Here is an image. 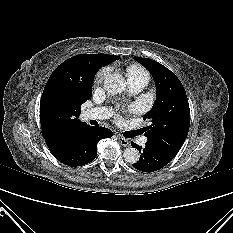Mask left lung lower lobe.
<instances>
[{
	"instance_id": "left-lung-lower-lobe-1",
	"label": "left lung lower lobe",
	"mask_w": 233,
	"mask_h": 233,
	"mask_svg": "<svg viewBox=\"0 0 233 233\" xmlns=\"http://www.w3.org/2000/svg\"><path fill=\"white\" fill-rule=\"evenodd\" d=\"M132 147L139 150L141 153L140 159L138 162L134 163L132 166L143 172H154L165 165H167L173 157L162 152L152 144L146 142V146L142 148L136 143L131 142Z\"/></svg>"
}]
</instances>
